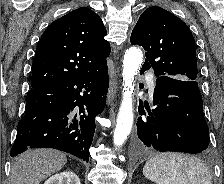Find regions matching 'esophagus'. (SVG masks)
Returning a JSON list of instances; mask_svg holds the SVG:
<instances>
[{
  "label": "esophagus",
  "mask_w": 224,
  "mask_h": 184,
  "mask_svg": "<svg viewBox=\"0 0 224 184\" xmlns=\"http://www.w3.org/2000/svg\"><path fill=\"white\" fill-rule=\"evenodd\" d=\"M116 92H117V78L115 77L113 81L112 89L108 97L109 103L116 97Z\"/></svg>",
  "instance_id": "esophagus-1"
}]
</instances>
